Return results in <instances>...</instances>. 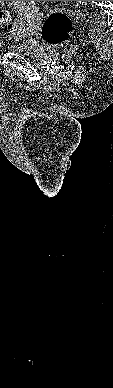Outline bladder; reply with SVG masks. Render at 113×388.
<instances>
[{
  "label": "bladder",
  "mask_w": 113,
  "mask_h": 388,
  "mask_svg": "<svg viewBox=\"0 0 113 388\" xmlns=\"http://www.w3.org/2000/svg\"><path fill=\"white\" fill-rule=\"evenodd\" d=\"M39 25V16L34 15L25 22L16 21V33L13 35L17 43L11 44L8 48L18 54L31 59H42L49 51L50 47L42 43L29 39Z\"/></svg>",
  "instance_id": "31cf9c89"
}]
</instances>
